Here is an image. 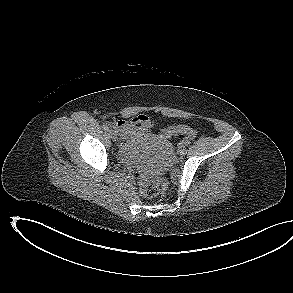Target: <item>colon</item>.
Returning a JSON list of instances; mask_svg holds the SVG:
<instances>
[{
  "label": "colon",
  "instance_id": "1",
  "mask_svg": "<svg viewBox=\"0 0 293 293\" xmlns=\"http://www.w3.org/2000/svg\"><path fill=\"white\" fill-rule=\"evenodd\" d=\"M175 134H185L189 137H195L196 131L189 126L179 125L170 127L162 132L164 138H169ZM168 188V182L163 178L155 180L144 179L140 184V192L144 197L152 198L159 194H164Z\"/></svg>",
  "mask_w": 293,
  "mask_h": 293
}]
</instances>
